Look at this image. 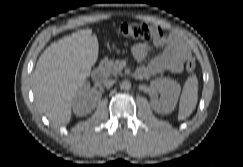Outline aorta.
<instances>
[{
	"instance_id": "1",
	"label": "aorta",
	"mask_w": 243,
	"mask_h": 167,
	"mask_svg": "<svg viewBox=\"0 0 243 167\" xmlns=\"http://www.w3.org/2000/svg\"><path fill=\"white\" fill-rule=\"evenodd\" d=\"M131 88V83L128 80H124L120 83V89L121 90H130Z\"/></svg>"
}]
</instances>
